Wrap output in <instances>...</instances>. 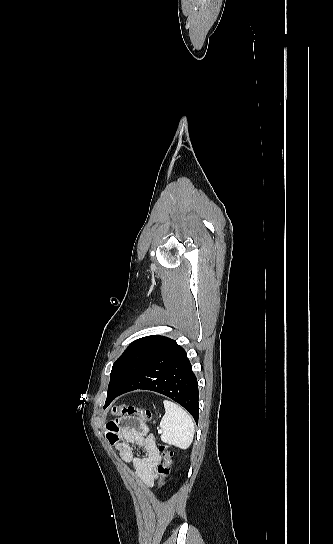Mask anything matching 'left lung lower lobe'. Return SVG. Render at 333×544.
Listing matches in <instances>:
<instances>
[{"label":"left lung lower lobe","instance_id":"left-lung-lower-lobe-1","mask_svg":"<svg viewBox=\"0 0 333 544\" xmlns=\"http://www.w3.org/2000/svg\"><path fill=\"white\" fill-rule=\"evenodd\" d=\"M145 389L168 396L182 405L198 423V384L185 350L170 340L119 391L107 394L104 408L117 396Z\"/></svg>","mask_w":333,"mask_h":544}]
</instances>
